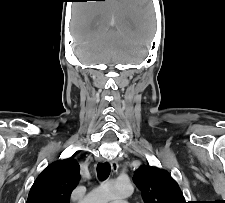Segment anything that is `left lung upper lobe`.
<instances>
[{
	"instance_id": "obj_1",
	"label": "left lung upper lobe",
	"mask_w": 225,
	"mask_h": 203,
	"mask_svg": "<svg viewBox=\"0 0 225 203\" xmlns=\"http://www.w3.org/2000/svg\"><path fill=\"white\" fill-rule=\"evenodd\" d=\"M145 203H186L183 194L167 171L141 166L133 178Z\"/></svg>"
}]
</instances>
